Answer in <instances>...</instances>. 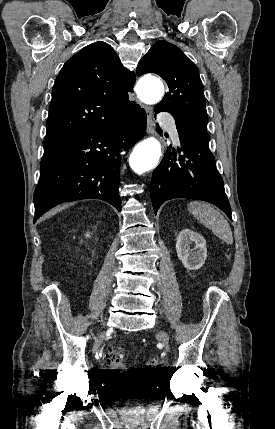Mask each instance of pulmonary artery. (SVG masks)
<instances>
[{
    "mask_svg": "<svg viewBox=\"0 0 275 429\" xmlns=\"http://www.w3.org/2000/svg\"><path fill=\"white\" fill-rule=\"evenodd\" d=\"M160 122L169 129V132L176 144H179V136L176 125L171 117L168 115H161L159 118Z\"/></svg>",
    "mask_w": 275,
    "mask_h": 429,
    "instance_id": "pulmonary-artery-1",
    "label": "pulmonary artery"
}]
</instances>
